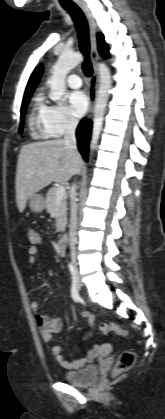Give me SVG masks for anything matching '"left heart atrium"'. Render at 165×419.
Segmentation results:
<instances>
[{
	"label": "left heart atrium",
	"instance_id": "obj_1",
	"mask_svg": "<svg viewBox=\"0 0 165 419\" xmlns=\"http://www.w3.org/2000/svg\"><path fill=\"white\" fill-rule=\"evenodd\" d=\"M68 101L73 114L77 117L83 116L88 109V98L82 91L71 92Z\"/></svg>",
	"mask_w": 165,
	"mask_h": 419
}]
</instances>
